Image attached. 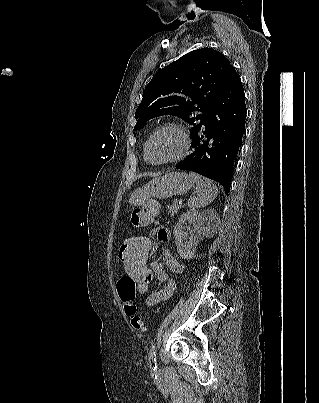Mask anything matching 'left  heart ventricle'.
Returning a JSON list of instances; mask_svg holds the SVG:
<instances>
[{
    "label": "left heart ventricle",
    "instance_id": "1",
    "mask_svg": "<svg viewBox=\"0 0 319 403\" xmlns=\"http://www.w3.org/2000/svg\"><path fill=\"white\" fill-rule=\"evenodd\" d=\"M180 134L173 129L158 133L148 148V158L151 161H161L176 155L181 148Z\"/></svg>",
    "mask_w": 319,
    "mask_h": 403
}]
</instances>
